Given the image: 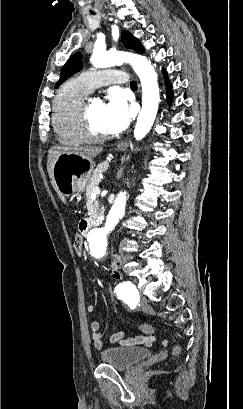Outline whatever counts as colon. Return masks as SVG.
<instances>
[{
  "mask_svg": "<svg viewBox=\"0 0 243 409\" xmlns=\"http://www.w3.org/2000/svg\"><path fill=\"white\" fill-rule=\"evenodd\" d=\"M82 245H83V240L80 234H75L74 238H73V248L75 250V252L80 255L82 252ZM140 330L145 333V334H151L153 333V328L152 326L148 325V324H143L140 326ZM180 353V347L179 346H175L174 350H173V354L175 356H178Z\"/></svg>",
  "mask_w": 243,
  "mask_h": 409,
  "instance_id": "obj_1",
  "label": "colon"
}]
</instances>
